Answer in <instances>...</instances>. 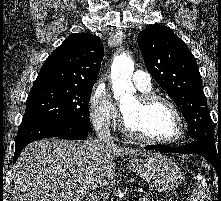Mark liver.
I'll return each mask as SVG.
<instances>
[{
	"instance_id": "6515ba94",
	"label": "liver",
	"mask_w": 221,
	"mask_h": 201,
	"mask_svg": "<svg viewBox=\"0 0 221 201\" xmlns=\"http://www.w3.org/2000/svg\"><path fill=\"white\" fill-rule=\"evenodd\" d=\"M150 154L96 139H44L29 144L15 163L13 201H81L115 176L114 159Z\"/></svg>"
}]
</instances>
